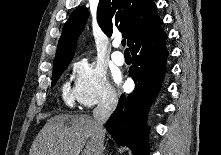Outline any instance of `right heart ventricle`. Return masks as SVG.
<instances>
[{
  "mask_svg": "<svg viewBox=\"0 0 221 155\" xmlns=\"http://www.w3.org/2000/svg\"><path fill=\"white\" fill-rule=\"evenodd\" d=\"M62 97L66 105L70 107L73 106L75 100L74 90L71 89L68 83H66L63 87Z\"/></svg>",
  "mask_w": 221,
  "mask_h": 155,
  "instance_id": "1",
  "label": "right heart ventricle"
}]
</instances>
